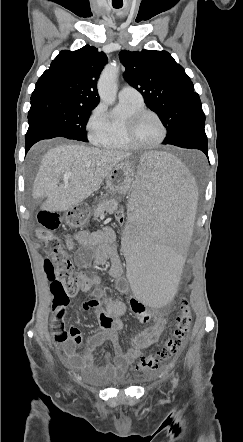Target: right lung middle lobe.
I'll return each mask as SVG.
<instances>
[{
	"mask_svg": "<svg viewBox=\"0 0 243 442\" xmlns=\"http://www.w3.org/2000/svg\"><path fill=\"white\" fill-rule=\"evenodd\" d=\"M93 106L82 105L66 97H31L28 122H43L64 130L69 139L87 142L86 124Z\"/></svg>",
	"mask_w": 243,
	"mask_h": 442,
	"instance_id": "dd1d6c3e",
	"label": "right lung middle lobe"
}]
</instances>
